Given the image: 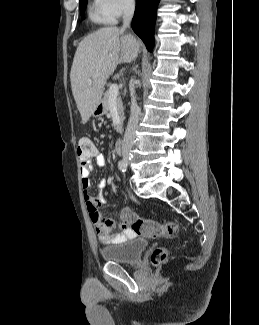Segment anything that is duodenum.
Masks as SVG:
<instances>
[{
    "label": "duodenum",
    "mask_w": 259,
    "mask_h": 325,
    "mask_svg": "<svg viewBox=\"0 0 259 325\" xmlns=\"http://www.w3.org/2000/svg\"><path fill=\"white\" fill-rule=\"evenodd\" d=\"M123 150V140L118 139L115 143V151L116 153H121Z\"/></svg>",
    "instance_id": "duodenum-1"
}]
</instances>
